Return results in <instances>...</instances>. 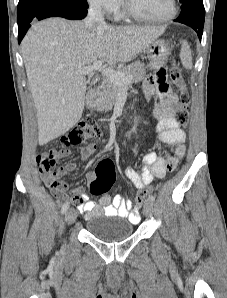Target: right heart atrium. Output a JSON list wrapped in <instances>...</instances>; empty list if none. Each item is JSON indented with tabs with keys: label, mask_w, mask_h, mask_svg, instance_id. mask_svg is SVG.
I'll return each mask as SVG.
<instances>
[{
	"label": "right heart atrium",
	"mask_w": 227,
	"mask_h": 298,
	"mask_svg": "<svg viewBox=\"0 0 227 298\" xmlns=\"http://www.w3.org/2000/svg\"><path fill=\"white\" fill-rule=\"evenodd\" d=\"M89 4L106 14H115L120 8V0H88Z\"/></svg>",
	"instance_id": "d8ad5b80"
}]
</instances>
